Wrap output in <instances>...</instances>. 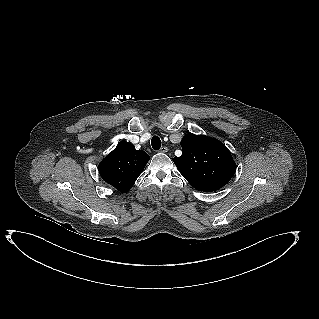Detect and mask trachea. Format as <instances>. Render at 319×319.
I'll return each instance as SVG.
<instances>
[{
  "label": "trachea",
  "mask_w": 319,
  "mask_h": 319,
  "mask_svg": "<svg viewBox=\"0 0 319 319\" xmlns=\"http://www.w3.org/2000/svg\"><path fill=\"white\" fill-rule=\"evenodd\" d=\"M151 145L154 150H159L161 147V140L158 136H153L151 139Z\"/></svg>",
  "instance_id": "1"
}]
</instances>
